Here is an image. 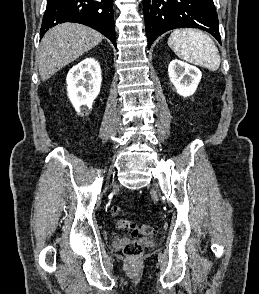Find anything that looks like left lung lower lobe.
Wrapping results in <instances>:
<instances>
[{
	"mask_svg": "<svg viewBox=\"0 0 259 294\" xmlns=\"http://www.w3.org/2000/svg\"><path fill=\"white\" fill-rule=\"evenodd\" d=\"M148 49L166 31L191 27L211 33L220 43L213 0H143Z\"/></svg>",
	"mask_w": 259,
	"mask_h": 294,
	"instance_id": "1",
	"label": "left lung lower lobe"
}]
</instances>
